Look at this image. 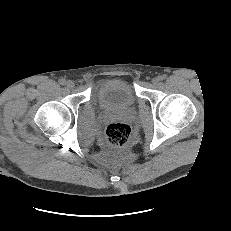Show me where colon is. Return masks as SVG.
Segmentation results:
<instances>
[{
	"mask_svg": "<svg viewBox=\"0 0 231 231\" xmlns=\"http://www.w3.org/2000/svg\"><path fill=\"white\" fill-rule=\"evenodd\" d=\"M131 129L125 123H113L106 129V138L110 145L114 147L125 146L130 138Z\"/></svg>",
	"mask_w": 231,
	"mask_h": 231,
	"instance_id": "1",
	"label": "colon"
}]
</instances>
